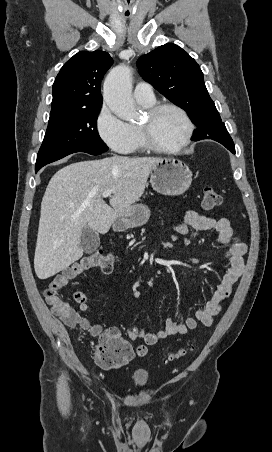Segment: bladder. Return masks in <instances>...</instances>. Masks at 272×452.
Listing matches in <instances>:
<instances>
[{"label": "bladder", "mask_w": 272, "mask_h": 452, "mask_svg": "<svg viewBox=\"0 0 272 452\" xmlns=\"http://www.w3.org/2000/svg\"><path fill=\"white\" fill-rule=\"evenodd\" d=\"M131 378L134 385L141 387L147 384L150 375L149 372L145 369H136L132 372Z\"/></svg>", "instance_id": "31cf9c89"}]
</instances>
